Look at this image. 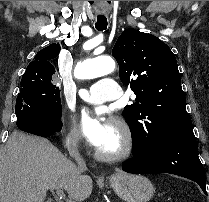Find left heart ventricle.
<instances>
[{"label": "left heart ventricle", "mask_w": 209, "mask_h": 202, "mask_svg": "<svg viewBox=\"0 0 209 202\" xmlns=\"http://www.w3.org/2000/svg\"><path fill=\"white\" fill-rule=\"evenodd\" d=\"M122 145V136L118 128L109 123L107 135L102 144L97 148L98 150L106 153L117 151Z\"/></svg>", "instance_id": "b2bd125f"}]
</instances>
